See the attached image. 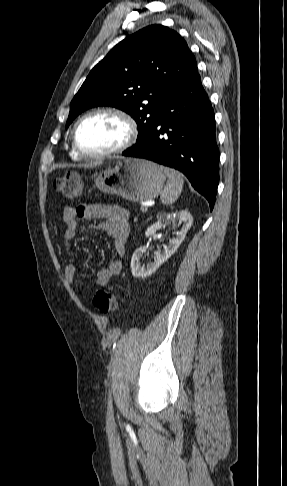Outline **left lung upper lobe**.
Returning a JSON list of instances; mask_svg holds the SVG:
<instances>
[{
	"instance_id": "obj_1",
	"label": "left lung upper lobe",
	"mask_w": 287,
	"mask_h": 486,
	"mask_svg": "<svg viewBox=\"0 0 287 486\" xmlns=\"http://www.w3.org/2000/svg\"><path fill=\"white\" fill-rule=\"evenodd\" d=\"M197 69L185 40L151 25L119 42L89 73L70 104L66 127L84 110L113 106L138 125L136 145L159 118L170 92Z\"/></svg>"
}]
</instances>
